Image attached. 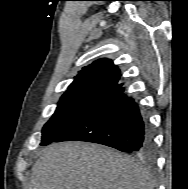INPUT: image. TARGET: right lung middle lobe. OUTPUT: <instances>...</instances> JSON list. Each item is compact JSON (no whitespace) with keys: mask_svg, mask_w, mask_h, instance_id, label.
Instances as JSON below:
<instances>
[{"mask_svg":"<svg viewBox=\"0 0 188 189\" xmlns=\"http://www.w3.org/2000/svg\"><path fill=\"white\" fill-rule=\"evenodd\" d=\"M107 94L100 91L64 94L55 113L43 127L40 145L44 146L51 143Z\"/></svg>","mask_w":188,"mask_h":189,"instance_id":"dd1d6c3e","label":"right lung middle lobe"}]
</instances>
